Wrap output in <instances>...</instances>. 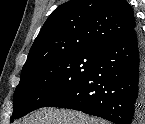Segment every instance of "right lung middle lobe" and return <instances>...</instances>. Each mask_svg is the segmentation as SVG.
Masks as SVG:
<instances>
[{
    "label": "right lung middle lobe",
    "mask_w": 145,
    "mask_h": 124,
    "mask_svg": "<svg viewBox=\"0 0 145 124\" xmlns=\"http://www.w3.org/2000/svg\"><path fill=\"white\" fill-rule=\"evenodd\" d=\"M100 53L80 52L52 59L20 77L13 98L11 121L49 102L78 84Z\"/></svg>",
    "instance_id": "1"
}]
</instances>
